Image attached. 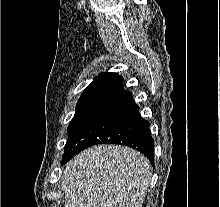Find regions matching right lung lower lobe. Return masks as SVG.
I'll return each mask as SVG.
<instances>
[{"label":"right lung lower lobe","mask_w":220,"mask_h":207,"mask_svg":"<svg viewBox=\"0 0 220 207\" xmlns=\"http://www.w3.org/2000/svg\"><path fill=\"white\" fill-rule=\"evenodd\" d=\"M118 74L106 80L82 124L73 135L62 164L85 148L101 143L122 144L143 153L154 164V141L149 122L141 118L131 93L122 88Z\"/></svg>","instance_id":"98d812e1"}]
</instances>
